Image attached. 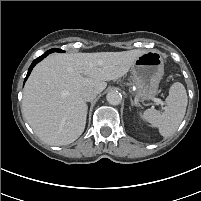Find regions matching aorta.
I'll list each match as a JSON object with an SVG mask.
<instances>
[{
	"instance_id": "762f6f07",
	"label": "aorta",
	"mask_w": 201,
	"mask_h": 201,
	"mask_svg": "<svg viewBox=\"0 0 201 201\" xmlns=\"http://www.w3.org/2000/svg\"><path fill=\"white\" fill-rule=\"evenodd\" d=\"M107 102L111 105H119L122 100V96L117 91H110L106 95Z\"/></svg>"
}]
</instances>
